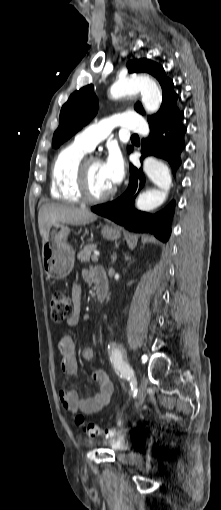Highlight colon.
<instances>
[{
  "mask_svg": "<svg viewBox=\"0 0 221 510\" xmlns=\"http://www.w3.org/2000/svg\"><path fill=\"white\" fill-rule=\"evenodd\" d=\"M74 311L72 299L63 291H55L50 299V314L55 323H62L69 318ZM76 425L80 426L89 437L110 436L111 431L105 430L98 425L86 423L84 417H75Z\"/></svg>",
  "mask_w": 221,
  "mask_h": 510,
  "instance_id": "colon-1",
  "label": "colon"
}]
</instances>
